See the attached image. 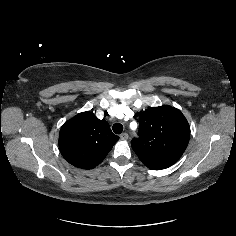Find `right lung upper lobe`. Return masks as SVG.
<instances>
[{
  "label": "right lung upper lobe",
  "mask_w": 236,
  "mask_h": 236,
  "mask_svg": "<svg viewBox=\"0 0 236 236\" xmlns=\"http://www.w3.org/2000/svg\"><path fill=\"white\" fill-rule=\"evenodd\" d=\"M119 137L105 120L92 112H82L63 124L59 133V149L73 166L95 168L110 152Z\"/></svg>",
  "instance_id": "right-lung-upper-lobe-1"
}]
</instances>
